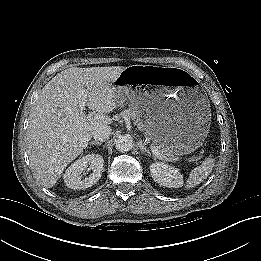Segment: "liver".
<instances>
[{"label":"liver","mask_w":261,"mask_h":261,"mask_svg":"<svg viewBox=\"0 0 261 261\" xmlns=\"http://www.w3.org/2000/svg\"><path fill=\"white\" fill-rule=\"evenodd\" d=\"M125 69L72 67L42 88L27 128L29 161L41 185L53 187L87 147L94 129L113 122L108 116L117 106L113 83ZM82 102L92 111L86 114Z\"/></svg>","instance_id":"obj_1"}]
</instances>
